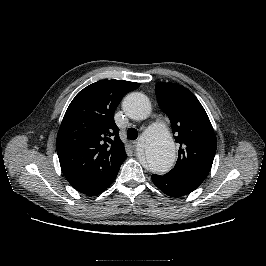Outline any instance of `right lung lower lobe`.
Segmentation results:
<instances>
[{
    "mask_svg": "<svg viewBox=\"0 0 266 266\" xmlns=\"http://www.w3.org/2000/svg\"><path fill=\"white\" fill-rule=\"evenodd\" d=\"M117 174H115L110 180H108L104 185L100 186L97 189H94L90 192H85L84 194L88 195V196H96L101 194L103 191H105L111 184L112 182L115 180Z\"/></svg>",
    "mask_w": 266,
    "mask_h": 266,
    "instance_id": "obj_1",
    "label": "right lung lower lobe"
}]
</instances>
